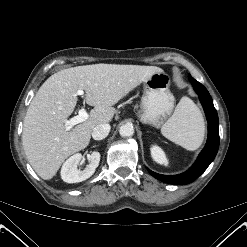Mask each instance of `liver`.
<instances>
[{
	"mask_svg": "<svg viewBox=\"0 0 247 247\" xmlns=\"http://www.w3.org/2000/svg\"><path fill=\"white\" fill-rule=\"evenodd\" d=\"M160 71L155 66L93 64L50 76L31 101L23 124V148L35 172L44 180L53 178L66 158L88 146L95 126L112 120L113 106ZM78 90H85L84 100L94 108L87 120L67 131L64 121L76 107Z\"/></svg>",
	"mask_w": 247,
	"mask_h": 247,
	"instance_id": "6515ba94",
	"label": "liver"
}]
</instances>
